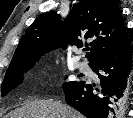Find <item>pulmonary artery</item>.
<instances>
[{
  "label": "pulmonary artery",
  "instance_id": "e3ab8cb5",
  "mask_svg": "<svg viewBox=\"0 0 133 118\" xmlns=\"http://www.w3.org/2000/svg\"><path fill=\"white\" fill-rule=\"evenodd\" d=\"M78 68L81 72L84 73H91V69L90 66L88 65V63L86 61H80L78 63Z\"/></svg>",
  "mask_w": 133,
  "mask_h": 118
}]
</instances>
